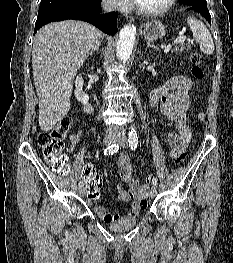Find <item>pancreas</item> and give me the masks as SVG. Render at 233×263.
<instances>
[{"instance_id":"cf45deb5","label":"pancreas","mask_w":233,"mask_h":263,"mask_svg":"<svg viewBox=\"0 0 233 263\" xmlns=\"http://www.w3.org/2000/svg\"><path fill=\"white\" fill-rule=\"evenodd\" d=\"M183 50H189V47L186 48L183 44H179L174 48V51L179 54H181Z\"/></svg>"}]
</instances>
